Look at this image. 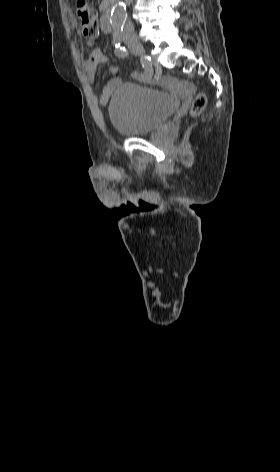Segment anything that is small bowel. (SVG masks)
<instances>
[{
    "label": "small bowel",
    "mask_w": 280,
    "mask_h": 472,
    "mask_svg": "<svg viewBox=\"0 0 280 472\" xmlns=\"http://www.w3.org/2000/svg\"><path fill=\"white\" fill-rule=\"evenodd\" d=\"M107 57L100 49H94L84 63V69L88 76L89 81L92 84L98 82V67L101 64L107 63ZM112 74H116L119 71V67L116 65H112L109 68ZM138 78V74L136 75ZM139 79V78H138ZM156 83L161 85L162 87L170 90L176 94H189L192 92L193 88L187 83L180 82L174 77L171 76H161L156 80ZM120 84L119 79H110L105 81L102 87V93L100 96V104L102 106H106L111 94L116 89V87Z\"/></svg>",
    "instance_id": "c3829d8e"
}]
</instances>
